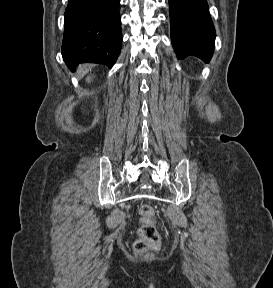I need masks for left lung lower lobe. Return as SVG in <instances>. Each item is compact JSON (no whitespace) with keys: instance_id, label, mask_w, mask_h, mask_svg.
<instances>
[{"instance_id":"obj_1","label":"left lung lower lobe","mask_w":273,"mask_h":288,"mask_svg":"<svg viewBox=\"0 0 273 288\" xmlns=\"http://www.w3.org/2000/svg\"><path fill=\"white\" fill-rule=\"evenodd\" d=\"M171 40L178 59L194 55L208 63L215 29L206 0H169Z\"/></svg>"}]
</instances>
